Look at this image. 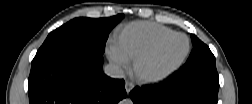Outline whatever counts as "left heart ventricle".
<instances>
[{
    "instance_id": "b2bd125f",
    "label": "left heart ventricle",
    "mask_w": 252,
    "mask_h": 104,
    "mask_svg": "<svg viewBox=\"0 0 252 104\" xmlns=\"http://www.w3.org/2000/svg\"><path fill=\"white\" fill-rule=\"evenodd\" d=\"M187 41L183 36L172 38L166 45L156 54L147 58L141 65L144 72H152L164 64H168L177 60L185 51Z\"/></svg>"
}]
</instances>
